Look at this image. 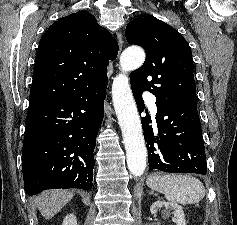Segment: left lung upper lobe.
<instances>
[{"instance_id": "1", "label": "left lung upper lobe", "mask_w": 237, "mask_h": 225, "mask_svg": "<svg viewBox=\"0 0 237 225\" xmlns=\"http://www.w3.org/2000/svg\"><path fill=\"white\" fill-rule=\"evenodd\" d=\"M125 35L146 51L144 64L130 74L131 86L167 103L197 102L192 52L178 31L147 15L130 22Z\"/></svg>"}]
</instances>
